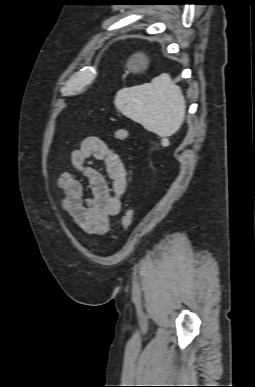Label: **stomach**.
<instances>
[{
	"label": "stomach",
	"instance_id": "0dacf381",
	"mask_svg": "<svg viewBox=\"0 0 255 387\" xmlns=\"http://www.w3.org/2000/svg\"><path fill=\"white\" fill-rule=\"evenodd\" d=\"M148 63V58L143 53H136L130 57L127 66L130 71L138 73L145 70Z\"/></svg>",
	"mask_w": 255,
	"mask_h": 387
}]
</instances>
